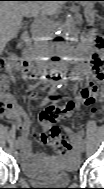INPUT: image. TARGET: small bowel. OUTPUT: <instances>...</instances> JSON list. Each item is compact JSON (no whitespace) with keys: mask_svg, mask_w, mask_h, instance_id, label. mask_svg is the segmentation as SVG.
<instances>
[{"mask_svg":"<svg viewBox=\"0 0 104 189\" xmlns=\"http://www.w3.org/2000/svg\"><path fill=\"white\" fill-rule=\"evenodd\" d=\"M20 71L21 78L24 81H29L35 77L33 72L28 68L25 62L21 63L18 66L11 65L6 67V74L4 76V83L1 87V92L3 96L7 99L8 105L3 110V117L13 123L18 130L21 132V155L23 163L28 168H34V164L40 162L46 158V155L43 153H33L30 148V126L29 123L22 111V109L17 105L13 95L8 91L7 84L9 82L15 81L14 71ZM92 65L90 61L84 60L80 62L72 71L71 79L72 80H86V84L83 88L77 89L74 97V101L79 105H93L99 102L102 99V89L96 83V81L91 78ZM74 104V102H73ZM94 112V111H93ZM75 142L79 140L77 134L72 133L68 127L65 128ZM66 159L70 160L69 162L73 163L77 160V152Z\"/></svg>","mask_w":104,"mask_h":189,"instance_id":"obj_1","label":"small bowel"}]
</instances>
